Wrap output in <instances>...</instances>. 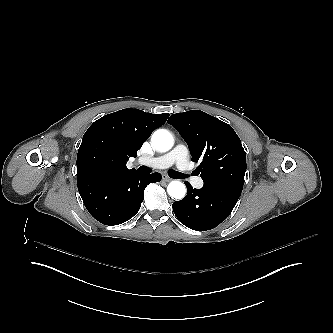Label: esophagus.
<instances>
[{
    "mask_svg": "<svg viewBox=\"0 0 333 333\" xmlns=\"http://www.w3.org/2000/svg\"><path fill=\"white\" fill-rule=\"evenodd\" d=\"M162 179L165 181V182H170L172 179L170 177H168L167 175H162Z\"/></svg>",
    "mask_w": 333,
    "mask_h": 333,
    "instance_id": "obj_1",
    "label": "esophagus"
}]
</instances>
